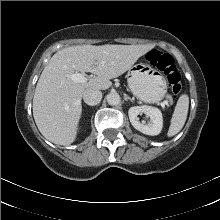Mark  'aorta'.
Masks as SVG:
<instances>
[{
	"label": "aorta",
	"mask_w": 220,
	"mask_h": 220,
	"mask_svg": "<svg viewBox=\"0 0 220 220\" xmlns=\"http://www.w3.org/2000/svg\"><path fill=\"white\" fill-rule=\"evenodd\" d=\"M106 99H107L108 104L111 106H117L120 104V101H121L119 94L116 92L109 93L106 96Z\"/></svg>",
	"instance_id": "aorta-1"
}]
</instances>
